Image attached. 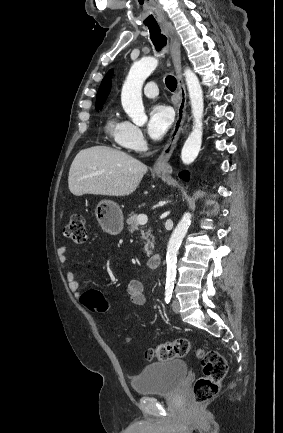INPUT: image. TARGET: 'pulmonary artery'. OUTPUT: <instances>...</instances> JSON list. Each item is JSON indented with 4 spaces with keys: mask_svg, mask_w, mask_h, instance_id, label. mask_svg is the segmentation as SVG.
Here are the masks:
<instances>
[{
    "mask_svg": "<svg viewBox=\"0 0 283 433\" xmlns=\"http://www.w3.org/2000/svg\"><path fill=\"white\" fill-rule=\"evenodd\" d=\"M144 94L149 98H155L159 95V90L156 88L154 81H149L144 85Z\"/></svg>",
    "mask_w": 283,
    "mask_h": 433,
    "instance_id": "1",
    "label": "pulmonary artery"
}]
</instances>
